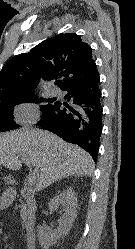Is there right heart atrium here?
<instances>
[{
  "label": "right heart atrium",
  "instance_id": "d8ad5b80",
  "mask_svg": "<svg viewBox=\"0 0 135 249\" xmlns=\"http://www.w3.org/2000/svg\"><path fill=\"white\" fill-rule=\"evenodd\" d=\"M13 117L18 125L30 127L39 120L40 110L32 102H21L13 108Z\"/></svg>",
  "mask_w": 135,
  "mask_h": 249
}]
</instances>
